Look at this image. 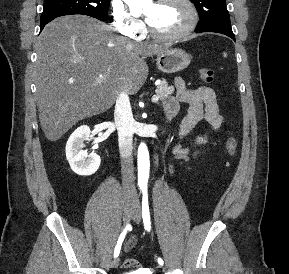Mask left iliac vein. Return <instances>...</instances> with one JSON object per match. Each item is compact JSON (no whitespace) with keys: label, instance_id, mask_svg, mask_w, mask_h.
Segmentation results:
<instances>
[{"label":"left iliac vein","instance_id":"4c4485c4","mask_svg":"<svg viewBox=\"0 0 289 274\" xmlns=\"http://www.w3.org/2000/svg\"><path fill=\"white\" fill-rule=\"evenodd\" d=\"M132 219L136 223H139L141 220V208L138 200L134 203ZM158 268H161V266H158Z\"/></svg>","mask_w":289,"mask_h":274}]
</instances>
